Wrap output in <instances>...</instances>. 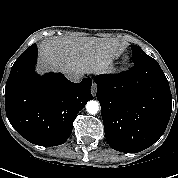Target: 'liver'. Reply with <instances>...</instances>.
<instances>
[{
    "mask_svg": "<svg viewBox=\"0 0 178 178\" xmlns=\"http://www.w3.org/2000/svg\"><path fill=\"white\" fill-rule=\"evenodd\" d=\"M122 43L94 37H62L42 41L40 70H59L66 75L90 74L107 69L121 52Z\"/></svg>",
    "mask_w": 178,
    "mask_h": 178,
    "instance_id": "liver-1",
    "label": "liver"
}]
</instances>
